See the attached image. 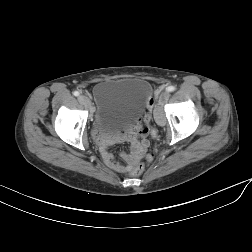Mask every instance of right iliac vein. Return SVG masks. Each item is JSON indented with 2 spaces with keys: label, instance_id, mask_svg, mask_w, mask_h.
Wrapping results in <instances>:
<instances>
[{
  "label": "right iliac vein",
  "instance_id": "right-iliac-vein-1",
  "mask_svg": "<svg viewBox=\"0 0 252 252\" xmlns=\"http://www.w3.org/2000/svg\"><path fill=\"white\" fill-rule=\"evenodd\" d=\"M79 102L83 104L86 108H90V100L86 95H80L78 98Z\"/></svg>",
  "mask_w": 252,
  "mask_h": 252
}]
</instances>
